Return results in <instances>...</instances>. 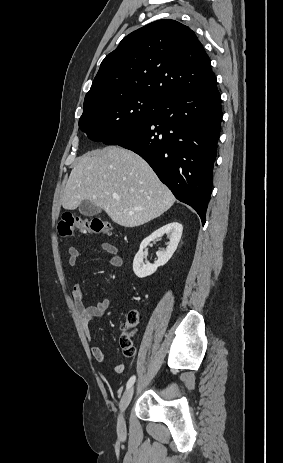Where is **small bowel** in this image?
Here are the masks:
<instances>
[{
    "label": "small bowel",
    "instance_id": "small-bowel-1",
    "mask_svg": "<svg viewBox=\"0 0 283 463\" xmlns=\"http://www.w3.org/2000/svg\"><path fill=\"white\" fill-rule=\"evenodd\" d=\"M102 249L110 255L109 265L115 268L122 266V258L118 254V248L111 243H103ZM81 256V252L78 248L70 246L68 248V262L70 265H75ZM72 298L75 307L80 315L81 322L84 326L87 338H90L89 324L97 317L102 316L110 307L111 302L108 299L100 300L94 306H87L85 297L79 284H74L72 290ZM92 356L99 362L107 360L106 352L99 346H93L91 348ZM114 371L117 374L124 372V365L121 363L114 365Z\"/></svg>",
    "mask_w": 283,
    "mask_h": 463
}]
</instances>
